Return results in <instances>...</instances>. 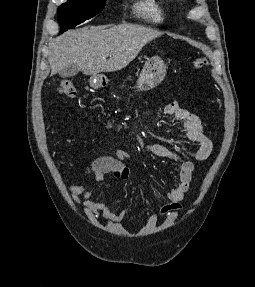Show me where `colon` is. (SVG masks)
I'll return each mask as SVG.
<instances>
[{
	"label": "colon",
	"mask_w": 255,
	"mask_h": 287,
	"mask_svg": "<svg viewBox=\"0 0 255 287\" xmlns=\"http://www.w3.org/2000/svg\"><path fill=\"white\" fill-rule=\"evenodd\" d=\"M207 66L208 61L203 57H198L193 61V67L196 70L204 69ZM57 90L60 94L68 97H74L76 95L75 83L71 77L62 78L57 85Z\"/></svg>",
	"instance_id": "1"
}]
</instances>
